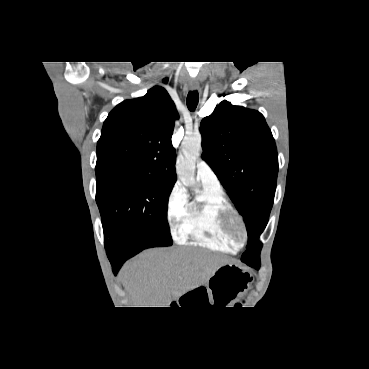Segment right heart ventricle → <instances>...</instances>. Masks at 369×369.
<instances>
[{
	"label": "right heart ventricle",
	"instance_id": "1",
	"mask_svg": "<svg viewBox=\"0 0 369 369\" xmlns=\"http://www.w3.org/2000/svg\"><path fill=\"white\" fill-rule=\"evenodd\" d=\"M231 210L223 191L203 185V190L188 203L178 225V239L189 245L233 253L239 249L226 233L222 217Z\"/></svg>",
	"mask_w": 369,
	"mask_h": 369
}]
</instances>
